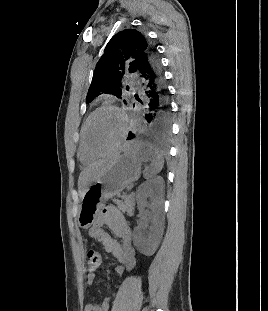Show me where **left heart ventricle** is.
Wrapping results in <instances>:
<instances>
[{
  "instance_id": "obj_1",
  "label": "left heart ventricle",
  "mask_w": 268,
  "mask_h": 311,
  "mask_svg": "<svg viewBox=\"0 0 268 311\" xmlns=\"http://www.w3.org/2000/svg\"><path fill=\"white\" fill-rule=\"evenodd\" d=\"M122 131L120 116L113 110H102L90 120L87 142L96 153L107 151L117 141Z\"/></svg>"
}]
</instances>
